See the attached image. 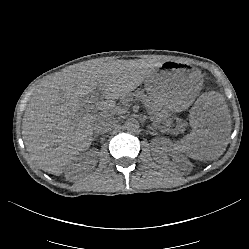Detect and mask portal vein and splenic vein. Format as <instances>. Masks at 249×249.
<instances>
[{"label": "portal vein and splenic vein", "mask_w": 249, "mask_h": 249, "mask_svg": "<svg viewBox=\"0 0 249 249\" xmlns=\"http://www.w3.org/2000/svg\"><path fill=\"white\" fill-rule=\"evenodd\" d=\"M95 99H96V98H95ZM92 103H93V101H89V102H88V106H87V108L84 109V111H86V112H91V111H93V110H94V105H92Z\"/></svg>", "instance_id": "portal-vein-and-splenic-vein-1"}]
</instances>
